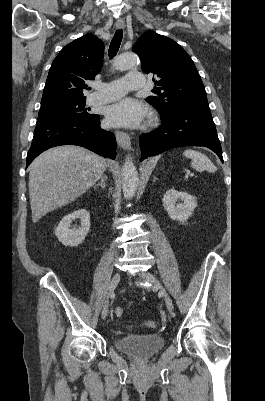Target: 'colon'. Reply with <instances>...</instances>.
I'll list each match as a JSON object with an SVG mask.
<instances>
[{
	"label": "colon",
	"instance_id": "1",
	"mask_svg": "<svg viewBox=\"0 0 265 401\" xmlns=\"http://www.w3.org/2000/svg\"><path fill=\"white\" fill-rule=\"evenodd\" d=\"M124 314V310L121 307L115 308V310L112 313L113 317H121ZM147 326L149 327H156V324L152 321H149L146 323Z\"/></svg>",
	"mask_w": 265,
	"mask_h": 401
}]
</instances>
